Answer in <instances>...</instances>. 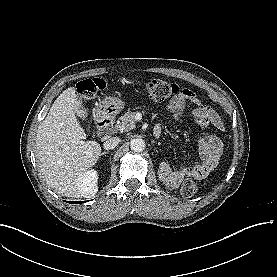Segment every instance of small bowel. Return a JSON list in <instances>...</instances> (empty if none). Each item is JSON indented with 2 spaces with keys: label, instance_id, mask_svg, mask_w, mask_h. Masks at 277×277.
Returning <instances> with one entry per match:
<instances>
[{
  "label": "small bowel",
  "instance_id": "small-bowel-1",
  "mask_svg": "<svg viewBox=\"0 0 277 277\" xmlns=\"http://www.w3.org/2000/svg\"><path fill=\"white\" fill-rule=\"evenodd\" d=\"M188 102L194 104V107L190 111V115L196 123L203 126H210L221 132L225 130L224 122L219 117V115L213 109L203 106L195 93L188 89L181 91L167 105L168 111L175 120L178 121L183 118L186 104ZM222 150L223 145L218 138L213 136H205L200 143V152L205 158V161L196 165L184 164V173L199 178L207 177L211 173V167H209L208 161L213 156L219 157L222 153Z\"/></svg>",
  "mask_w": 277,
  "mask_h": 277
}]
</instances>
